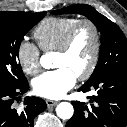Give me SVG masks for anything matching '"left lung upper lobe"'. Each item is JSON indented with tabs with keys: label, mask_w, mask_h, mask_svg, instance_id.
Segmentation results:
<instances>
[{
	"label": "left lung upper lobe",
	"mask_w": 127,
	"mask_h": 127,
	"mask_svg": "<svg viewBox=\"0 0 127 127\" xmlns=\"http://www.w3.org/2000/svg\"><path fill=\"white\" fill-rule=\"evenodd\" d=\"M52 13L85 15L101 32L102 43L99 60L93 74L86 83L110 71L127 70V39L115 23L87 4L66 7Z\"/></svg>",
	"instance_id": "5c2ea615"
}]
</instances>
